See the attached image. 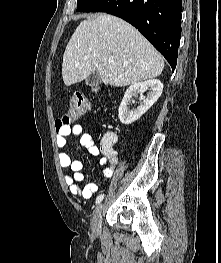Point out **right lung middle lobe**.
Segmentation results:
<instances>
[{
	"label": "right lung middle lobe",
	"mask_w": 221,
	"mask_h": 263,
	"mask_svg": "<svg viewBox=\"0 0 221 263\" xmlns=\"http://www.w3.org/2000/svg\"><path fill=\"white\" fill-rule=\"evenodd\" d=\"M104 0H77V11L91 12Z\"/></svg>",
	"instance_id": "1"
}]
</instances>
